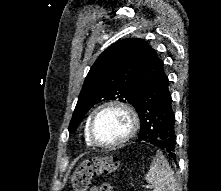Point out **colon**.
Instances as JSON below:
<instances>
[{"label": "colon", "instance_id": "obj_1", "mask_svg": "<svg viewBox=\"0 0 221 191\" xmlns=\"http://www.w3.org/2000/svg\"><path fill=\"white\" fill-rule=\"evenodd\" d=\"M119 166V161L114 156L93 157L80 163L75 170L72 179L73 191H87L92 178L99 175H111ZM100 191H114L113 186L104 182L100 186Z\"/></svg>", "mask_w": 221, "mask_h": 191}]
</instances>
